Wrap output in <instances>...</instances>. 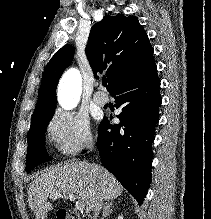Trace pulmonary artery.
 Returning a JSON list of instances; mask_svg holds the SVG:
<instances>
[{
  "label": "pulmonary artery",
  "instance_id": "1",
  "mask_svg": "<svg viewBox=\"0 0 211 219\" xmlns=\"http://www.w3.org/2000/svg\"><path fill=\"white\" fill-rule=\"evenodd\" d=\"M93 101L95 104L103 106L108 102V96L102 91H97L93 96Z\"/></svg>",
  "mask_w": 211,
  "mask_h": 219
}]
</instances>
